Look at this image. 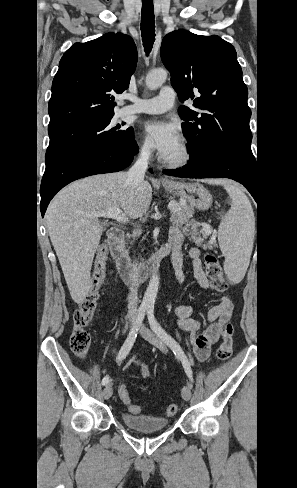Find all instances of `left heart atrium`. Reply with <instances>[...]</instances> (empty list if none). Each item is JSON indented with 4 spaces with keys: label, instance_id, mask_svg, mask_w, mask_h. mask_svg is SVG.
I'll return each mask as SVG.
<instances>
[{
    "label": "left heart atrium",
    "instance_id": "obj_1",
    "mask_svg": "<svg viewBox=\"0 0 297 488\" xmlns=\"http://www.w3.org/2000/svg\"><path fill=\"white\" fill-rule=\"evenodd\" d=\"M144 130L162 158H166L180 142L177 127L171 122L148 121L144 125Z\"/></svg>",
    "mask_w": 297,
    "mask_h": 488
}]
</instances>
